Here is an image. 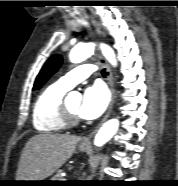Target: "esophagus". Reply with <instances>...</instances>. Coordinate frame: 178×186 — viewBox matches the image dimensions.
I'll use <instances>...</instances> for the list:
<instances>
[{
  "label": "esophagus",
  "instance_id": "obj_1",
  "mask_svg": "<svg viewBox=\"0 0 178 186\" xmlns=\"http://www.w3.org/2000/svg\"><path fill=\"white\" fill-rule=\"evenodd\" d=\"M91 22L94 25L97 34L101 35L102 34L101 28H100L99 24L97 23V21L94 18H91ZM99 58H100L101 64L104 65V67L106 68V76H107V79H108V84H109V87H110V90H111V95H112L111 96V102L109 104L107 113L105 114V116L102 119V121L100 122V124L96 127V129L88 137H85L82 140L83 144H88L90 142V138L93 135V133L109 118V116L112 112V108H113L114 100H115V89H114L112 72H111L110 67H109L108 63L106 62V60L101 55L99 56Z\"/></svg>",
  "mask_w": 178,
  "mask_h": 186
}]
</instances>
